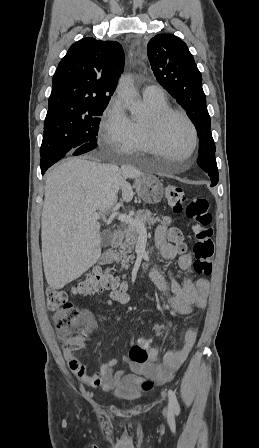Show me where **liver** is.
Returning a JSON list of instances; mask_svg holds the SVG:
<instances>
[{"label": "liver", "mask_w": 259, "mask_h": 448, "mask_svg": "<svg viewBox=\"0 0 259 448\" xmlns=\"http://www.w3.org/2000/svg\"><path fill=\"white\" fill-rule=\"evenodd\" d=\"M126 170L113 164L69 158L54 166L45 182L41 218L42 260L50 288L61 290L101 256V224L94 212H108L119 190H130Z\"/></svg>", "instance_id": "6515ba94"}]
</instances>
